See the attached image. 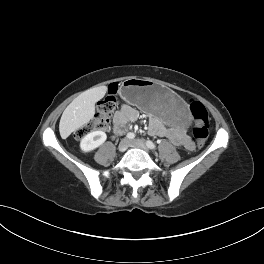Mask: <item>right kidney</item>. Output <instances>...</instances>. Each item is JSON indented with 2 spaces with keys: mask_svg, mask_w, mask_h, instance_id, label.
Returning <instances> with one entry per match:
<instances>
[{
  "mask_svg": "<svg viewBox=\"0 0 264 264\" xmlns=\"http://www.w3.org/2000/svg\"><path fill=\"white\" fill-rule=\"evenodd\" d=\"M107 139V135L103 131H93L88 133L81 139L80 149L83 152H90L101 146Z\"/></svg>",
  "mask_w": 264,
  "mask_h": 264,
  "instance_id": "1",
  "label": "right kidney"
}]
</instances>
